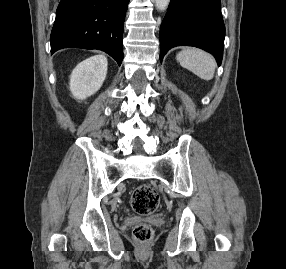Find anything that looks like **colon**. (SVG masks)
Instances as JSON below:
<instances>
[{"label":"colon","instance_id":"colon-1","mask_svg":"<svg viewBox=\"0 0 286 269\" xmlns=\"http://www.w3.org/2000/svg\"><path fill=\"white\" fill-rule=\"evenodd\" d=\"M159 195L149 185H139L131 195V206L140 215L152 214L159 206ZM134 239L140 244L148 243L152 238V228L139 223L133 229Z\"/></svg>","mask_w":286,"mask_h":269}]
</instances>
